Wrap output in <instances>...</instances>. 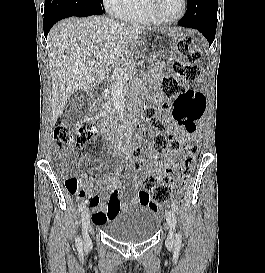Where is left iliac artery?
I'll return each mask as SVG.
<instances>
[{
    "label": "left iliac artery",
    "mask_w": 265,
    "mask_h": 273,
    "mask_svg": "<svg viewBox=\"0 0 265 273\" xmlns=\"http://www.w3.org/2000/svg\"><path fill=\"white\" fill-rule=\"evenodd\" d=\"M170 206H171V209L174 212L178 213L179 208H178V206L175 203H172ZM181 242H182V235L180 233H178L176 235V239H175V247L176 248H180L181 247Z\"/></svg>",
    "instance_id": "44dca946"
}]
</instances>
